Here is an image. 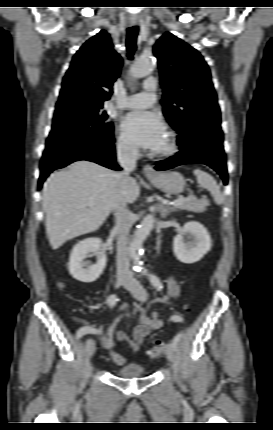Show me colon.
<instances>
[{"instance_id": "colon-1", "label": "colon", "mask_w": 273, "mask_h": 430, "mask_svg": "<svg viewBox=\"0 0 273 430\" xmlns=\"http://www.w3.org/2000/svg\"><path fill=\"white\" fill-rule=\"evenodd\" d=\"M164 347H165V345L163 342H158L155 346H153L148 351L149 357L152 359L159 358L162 355ZM111 358L115 363H117L119 365H123L125 363V359L121 355H119L118 353H115V352L111 353Z\"/></svg>"}]
</instances>
